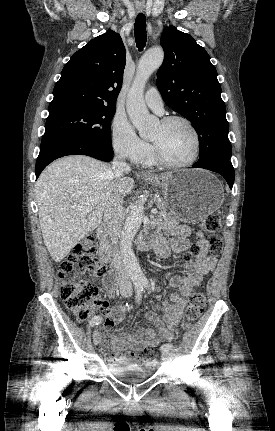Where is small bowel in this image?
Returning a JSON list of instances; mask_svg holds the SVG:
<instances>
[{"label": "small bowel", "instance_id": "obj_1", "mask_svg": "<svg viewBox=\"0 0 275 431\" xmlns=\"http://www.w3.org/2000/svg\"><path fill=\"white\" fill-rule=\"evenodd\" d=\"M163 229L171 236V240L168 241L161 234L153 238L154 249L160 257L166 258L171 252L180 253L189 248V237L194 233L193 228L178 224L175 219L170 218L163 223ZM196 236L197 245L204 255L187 265L186 276L176 275L170 278L169 288L172 294L169 302H162L156 310H148L145 313L146 321L152 324L153 328L141 326L134 335L108 333L109 329L124 321L126 306L118 303L108 308L105 303L101 308L106 316L101 335V351L109 362H139V354L144 349L153 348L173 338L186 306V298L194 293L203 277L211 273L216 265L215 257L206 255L207 240L200 232H196ZM102 283L108 296L117 299L116 276L108 272L103 277ZM158 312L162 313V317Z\"/></svg>", "mask_w": 275, "mask_h": 431}]
</instances>
